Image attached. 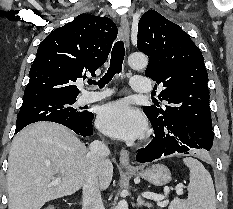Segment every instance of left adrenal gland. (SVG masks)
Instances as JSON below:
<instances>
[{
	"instance_id": "obj_1",
	"label": "left adrenal gland",
	"mask_w": 233,
	"mask_h": 209,
	"mask_svg": "<svg viewBox=\"0 0 233 209\" xmlns=\"http://www.w3.org/2000/svg\"><path fill=\"white\" fill-rule=\"evenodd\" d=\"M137 206L138 207L145 206V207L150 208L151 204L145 202L140 196H138V198H137Z\"/></svg>"
}]
</instances>
